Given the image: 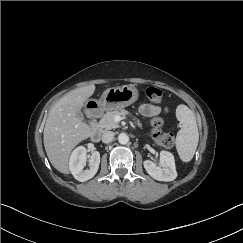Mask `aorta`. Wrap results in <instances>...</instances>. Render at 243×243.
<instances>
[{"mask_svg":"<svg viewBox=\"0 0 243 243\" xmlns=\"http://www.w3.org/2000/svg\"><path fill=\"white\" fill-rule=\"evenodd\" d=\"M118 141L120 144H127L129 142V136L126 133H120L118 136Z\"/></svg>","mask_w":243,"mask_h":243,"instance_id":"aorta-1","label":"aorta"}]
</instances>
